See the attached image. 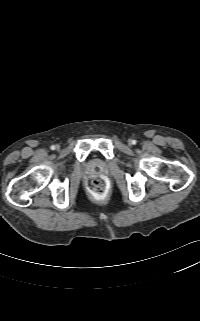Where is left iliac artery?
<instances>
[{
  "instance_id": "obj_1",
  "label": "left iliac artery",
  "mask_w": 200,
  "mask_h": 321,
  "mask_svg": "<svg viewBox=\"0 0 200 321\" xmlns=\"http://www.w3.org/2000/svg\"><path fill=\"white\" fill-rule=\"evenodd\" d=\"M132 144H136V140H133V141H132Z\"/></svg>"
}]
</instances>
